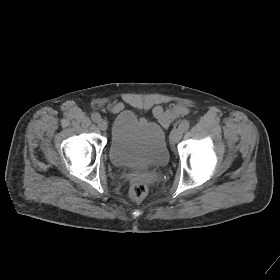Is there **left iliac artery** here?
<instances>
[{"mask_svg": "<svg viewBox=\"0 0 280 280\" xmlns=\"http://www.w3.org/2000/svg\"><path fill=\"white\" fill-rule=\"evenodd\" d=\"M189 127H190V123H189L188 120H183V121L180 123V125H179V128H180L183 132L187 131V130L189 129Z\"/></svg>", "mask_w": 280, "mask_h": 280, "instance_id": "44dca946", "label": "left iliac artery"}]
</instances>
